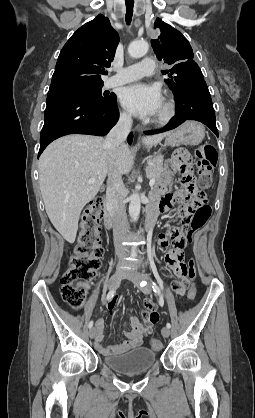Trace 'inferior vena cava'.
Wrapping results in <instances>:
<instances>
[{
	"mask_svg": "<svg viewBox=\"0 0 255 418\" xmlns=\"http://www.w3.org/2000/svg\"><path fill=\"white\" fill-rule=\"evenodd\" d=\"M132 127V118L129 114H121L117 124L108 133L105 139V147L112 155L125 141ZM107 209L113 223L114 246L119 258L126 255V248L122 245V239L126 235L127 218L125 208L126 190L121 175L117 171L109 174L107 190Z\"/></svg>",
	"mask_w": 255,
	"mask_h": 418,
	"instance_id": "1",
	"label": "inferior vena cava"
}]
</instances>
